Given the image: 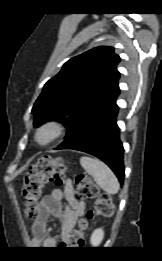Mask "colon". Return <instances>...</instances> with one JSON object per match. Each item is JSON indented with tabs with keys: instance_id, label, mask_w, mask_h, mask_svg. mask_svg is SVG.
<instances>
[{
	"instance_id": "1",
	"label": "colon",
	"mask_w": 162,
	"mask_h": 261,
	"mask_svg": "<svg viewBox=\"0 0 162 261\" xmlns=\"http://www.w3.org/2000/svg\"><path fill=\"white\" fill-rule=\"evenodd\" d=\"M66 164L61 158L41 156L38 161L27 170L21 188L25 201V215L33 219L38 215L37 203L48 183L60 185L63 182ZM75 197L79 200L96 198L94 208L80 223V227L67 238L63 245L81 247L84 245V230L88 222L97 216L109 217L114 207L109 194H100L99 187L87 176L75 177Z\"/></svg>"
}]
</instances>
